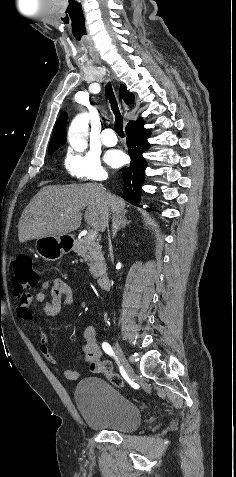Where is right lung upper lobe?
Returning a JSON list of instances; mask_svg holds the SVG:
<instances>
[{"mask_svg": "<svg viewBox=\"0 0 236 477\" xmlns=\"http://www.w3.org/2000/svg\"><path fill=\"white\" fill-rule=\"evenodd\" d=\"M120 93L124 101L130 105L134 101L133 94L126 90V87H120ZM66 119L67 115L63 114L57 120L54 126L53 135L49 144V150L61 147L66 142V134H65V127H66ZM136 123H143L140 119L137 121H129L126 127L136 124Z\"/></svg>", "mask_w": 236, "mask_h": 477, "instance_id": "obj_1", "label": "right lung upper lobe"}]
</instances>
